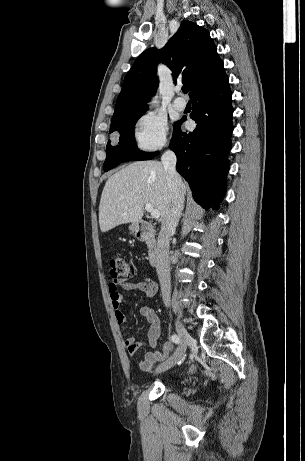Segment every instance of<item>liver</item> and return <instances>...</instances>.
Listing matches in <instances>:
<instances>
[{"instance_id":"1","label":"liver","mask_w":305,"mask_h":461,"mask_svg":"<svg viewBox=\"0 0 305 461\" xmlns=\"http://www.w3.org/2000/svg\"><path fill=\"white\" fill-rule=\"evenodd\" d=\"M182 191L185 194L183 182ZM169 196L162 163L129 164L110 176L104 186L99 205L100 230L107 232L121 224L139 223L147 203L159 211L162 221L168 210Z\"/></svg>"}]
</instances>
